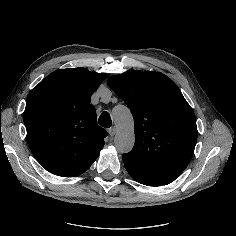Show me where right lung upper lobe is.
Instances as JSON below:
<instances>
[{"instance_id":"obj_1","label":"right lung upper lobe","mask_w":236,"mask_h":236,"mask_svg":"<svg viewBox=\"0 0 236 236\" xmlns=\"http://www.w3.org/2000/svg\"><path fill=\"white\" fill-rule=\"evenodd\" d=\"M106 74L57 70L28 95L24 123L31 151L52 174L76 177L93 164L107 132L97 124L91 95Z\"/></svg>"}]
</instances>
